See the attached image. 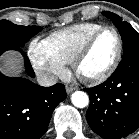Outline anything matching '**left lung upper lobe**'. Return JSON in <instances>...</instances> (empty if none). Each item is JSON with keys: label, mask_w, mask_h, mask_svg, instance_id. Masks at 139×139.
<instances>
[{"label": "left lung upper lobe", "mask_w": 139, "mask_h": 139, "mask_svg": "<svg viewBox=\"0 0 139 139\" xmlns=\"http://www.w3.org/2000/svg\"><path fill=\"white\" fill-rule=\"evenodd\" d=\"M102 14L111 19L118 28L124 42L123 55L139 47V34L128 22L123 21L121 17L108 11H104Z\"/></svg>", "instance_id": "5c2ea615"}]
</instances>
